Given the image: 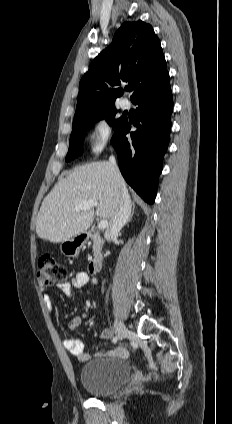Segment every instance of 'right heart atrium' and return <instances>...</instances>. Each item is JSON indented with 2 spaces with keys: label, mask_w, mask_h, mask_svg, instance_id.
Masks as SVG:
<instances>
[{
  "label": "right heart atrium",
  "mask_w": 232,
  "mask_h": 424,
  "mask_svg": "<svg viewBox=\"0 0 232 424\" xmlns=\"http://www.w3.org/2000/svg\"><path fill=\"white\" fill-rule=\"evenodd\" d=\"M112 135L113 127L110 121L105 117L97 119L88 134L90 152L94 155L102 152L110 143Z\"/></svg>",
  "instance_id": "right-heart-atrium-1"
}]
</instances>
